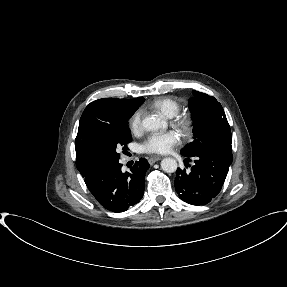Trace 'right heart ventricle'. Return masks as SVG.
Masks as SVG:
<instances>
[{"label":"right heart ventricle","mask_w":287,"mask_h":287,"mask_svg":"<svg viewBox=\"0 0 287 287\" xmlns=\"http://www.w3.org/2000/svg\"><path fill=\"white\" fill-rule=\"evenodd\" d=\"M150 105L166 117H173L180 111L179 102L170 97L157 98Z\"/></svg>","instance_id":"1"}]
</instances>
